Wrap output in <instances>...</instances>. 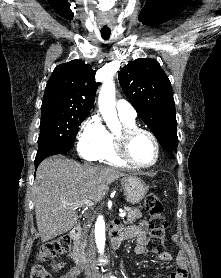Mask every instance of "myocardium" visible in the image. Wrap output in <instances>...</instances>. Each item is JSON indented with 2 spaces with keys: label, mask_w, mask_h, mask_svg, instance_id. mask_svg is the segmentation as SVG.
Here are the masks:
<instances>
[{
  "label": "myocardium",
  "mask_w": 221,
  "mask_h": 278,
  "mask_svg": "<svg viewBox=\"0 0 221 278\" xmlns=\"http://www.w3.org/2000/svg\"><path fill=\"white\" fill-rule=\"evenodd\" d=\"M137 133L147 134L151 138L154 144L155 159L151 164L148 165L137 164L134 161H132L128 156L127 149H128L129 141ZM114 149L117 157L123 163L135 169H149L155 166L160 159V145L155 134L148 129L137 127V126L124 127L123 130L118 135L115 136Z\"/></svg>",
  "instance_id": "obj_1"
}]
</instances>
